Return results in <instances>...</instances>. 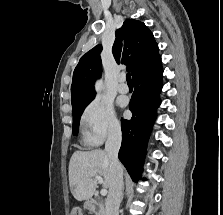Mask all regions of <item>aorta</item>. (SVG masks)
Returning <instances> with one entry per match:
<instances>
[{"label":"aorta","instance_id":"obj_1","mask_svg":"<svg viewBox=\"0 0 223 215\" xmlns=\"http://www.w3.org/2000/svg\"><path fill=\"white\" fill-rule=\"evenodd\" d=\"M95 88H96V92H102V90H104V84H103V80H98V82H96L95 84Z\"/></svg>","mask_w":223,"mask_h":215}]
</instances>
